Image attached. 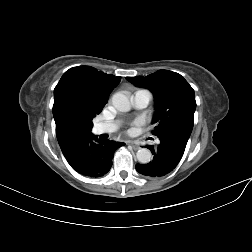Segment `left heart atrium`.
Instances as JSON below:
<instances>
[{
    "mask_svg": "<svg viewBox=\"0 0 252 252\" xmlns=\"http://www.w3.org/2000/svg\"><path fill=\"white\" fill-rule=\"evenodd\" d=\"M139 124H140V121L137 120V121H135V122L132 124V126H134V125H139ZM128 132H129V133H132V132H133V128H132V127L129 128V129H128Z\"/></svg>",
    "mask_w": 252,
    "mask_h": 252,
    "instance_id": "1",
    "label": "left heart atrium"
}]
</instances>
